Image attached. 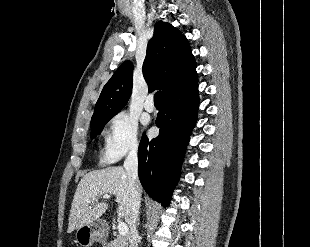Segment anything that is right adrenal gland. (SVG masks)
Returning <instances> with one entry per match:
<instances>
[{"mask_svg":"<svg viewBox=\"0 0 310 247\" xmlns=\"http://www.w3.org/2000/svg\"><path fill=\"white\" fill-rule=\"evenodd\" d=\"M139 222H140V218L138 217V224H139Z\"/></svg>","mask_w":310,"mask_h":247,"instance_id":"obj_1","label":"right adrenal gland"}]
</instances>
